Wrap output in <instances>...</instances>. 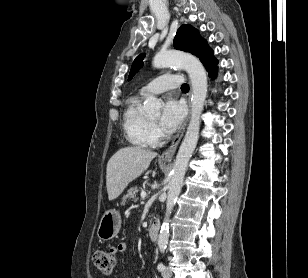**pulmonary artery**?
<instances>
[{
    "instance_id": "obj_1",
    "label": "pulmonary artery",
    "mask_w": 308,
    "mask_h": 278,
    "mask_svg": "<svg viewBox=\"0 0 308 278\" xmlns=\"http://www.w3.org/2000/svg\"><path fill=\"white\" fill-rule=\"evenodd\" d=\"M183 79L181 76L176 74H166L160 77L155 78L147 85L141 88L140 94L142 96L150 94H159L163 93L169 89H173L181 85Z\"/></svg>"
}]
</instances>
